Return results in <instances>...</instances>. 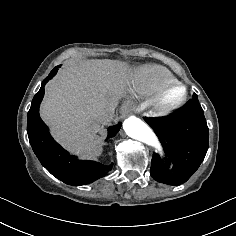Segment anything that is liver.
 <instances>
[{
    "label": "liver",
    "mask_w": 236,
    "mask_h": 236,
    "mask_svg": "<svg viewBox=\"0 0 236 236\" xmlns=\"http://www.w3.org/2000/svg\"><path fill=\"white\" fill-rule=\"evenodd\" d=\"M117 62L87 60L65 66L47 83L40 107L42 120L64 148L84 159L101 155L97 135L104 111L114 112L120 97Z\"/></svg>",
    "instance_id": "liver-1"
}]
</instances>
